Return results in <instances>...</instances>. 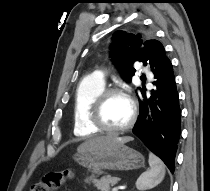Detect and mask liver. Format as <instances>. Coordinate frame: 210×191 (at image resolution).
Masks as SVG:
<instances>
[{
	"instance_id": "liver-1",
	"label": "liver",
	"mask_w": 210,
	"mask_h": 191,
	"mask_svg": "<svg viewBox=\"0 0 210 191\" xmlns=\"http://www.w3.org/2000/svg\"><path fill=\"white\" fill-rule=\"evenodd\" d=\"M132 140H133L132 137H119L116 134H108L106 136H97L83 142L78 147L77 150L82 151V150L99 149V148H104L108 146H113L116 144H124Z\"/></svg>"
}]
</instances>
